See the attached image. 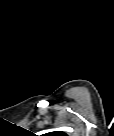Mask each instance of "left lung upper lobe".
<instances>
[{"label":"left lung upper lobe","mask_w":114,"mask_h":136,"mask_svg":"<svg viewBox=\"0 0 114 136\" xmlns=\"http://www.w3.org/2000/svg\"><path fill=\"white\" fill-rule=\"evenodd\" d=\"M56 133V136H65L66 134L63 133V132H55Z\"/></svg>","instance_id":"obj_1"}]
</instances>
